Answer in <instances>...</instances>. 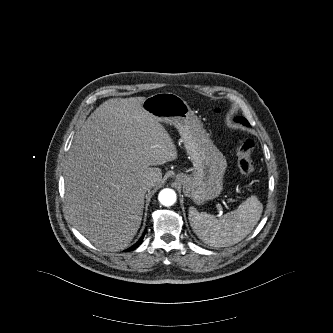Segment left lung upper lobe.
Here are the masks:
<instances>
[{"label": "left lung upper lobe", "mask_w": 333, "mask_h": 333, "mask_svg": "<svg viewBox=\"0 0 333 333\" xmlns=\"http://www.w3.org/2000/svg\"><path fill=\"white\" fill-rule=\"evenodd\" d=\"M236 121L240 122V123H242L244 125H249L248 121L245 118H243V117L236 118Z\"/></svg>", "instance_id": "obj_1"}]
</instances>
